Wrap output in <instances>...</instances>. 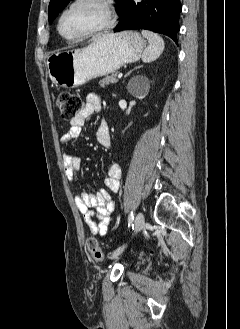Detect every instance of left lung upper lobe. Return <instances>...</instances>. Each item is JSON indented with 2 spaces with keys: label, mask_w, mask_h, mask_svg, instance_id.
Returning a JSON list of instances; mask_svg holds the SVG:
<instances>
[{
  "label": "left lung upper lobe",
  "mask_w": 240,
  "mask_h": 329,
  "mask_svg": "<svg viewBox=\"0 0 240 329\" xmlns=\"http://www.w3.org/2000/svg\"><path fill=\"white\" fill-rule=\"evenodd\" d=\"M71 0H51L48 8L49 23H51L55 17L61 12ZM126 0H115L117 3L116 12L120 16Z\"/></svg>",
  "instance_id": "5c2ea615"
}]
</instances>
